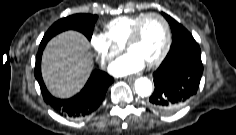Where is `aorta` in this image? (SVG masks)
Returning a JSON list of instances; mask_svg holds the SVG:
<instances>
[{"mask_svg": "<svg viewBox=\"0 0 236 135\" xmlns=\"http://www.w3.org/2000/svg\"><path fill=\"white\" fill-rule=\"evenodd\" d=\"M136 93L141 97H147L152 94V83L146 77L138 78L134 84Z\"/></svg>", "mask_w": 236, "mask_h": 135, "instance_id": "aorta-1", "label": "aorta"}]
</instances>
